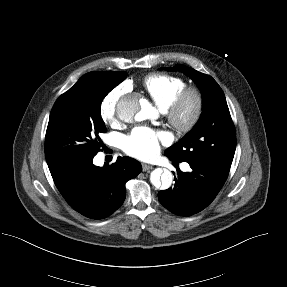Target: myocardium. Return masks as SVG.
<instances>
[{"label": "myocardium", "instance_id": "1", "mask_svg": "<svg viewBox=\"0 0 287 287\" xmlns=\"http://www.w3.org/2000/svg\"><path fill=\"white\" fill-rule=\"evenodd\" d=\"M203 108L201 91L196 87H185L165 109V116L178 132L187 133L200 121Z\"/></svg>", "mask_w": 287, "mask_h": 287}]
</instances>
